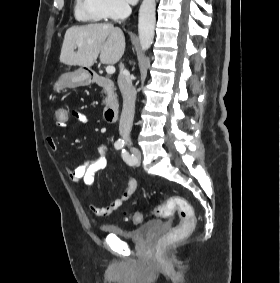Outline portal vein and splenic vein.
I'll use <instances>...</instances> for the list:
<instances>
[{
	"label": "portal vein and splenic vein",
	"instance_id": "portal-vein-and-splenic-vein-1",
	"mask_svg": "<svg viewBox=\"0 0 280 283\" xmlns=\"http://www.w3.org/2000/svg\"><path fill=\"white\" fill-rule=\"evenodd\" d=\"M106 72H107V74H109V75L114 74V73H115V67L112 66V65H108V66L106 67Z\"/></svg>",
	"mask_w": 280,
	"mask_h": 283
}]
</instances>
